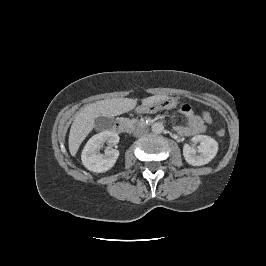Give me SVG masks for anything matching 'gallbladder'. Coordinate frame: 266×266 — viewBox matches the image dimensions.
Returning <instances> with one entry per match:
<instances>
[{
  "label": "gallbladder",
  "instance_id": "obj_1",
  "mask_svg": "<svg viewBox=\"0 0 266 266\" xmlns=\"http://www.w3.org/2000/svg\"><path fill=\"white\" fill-rule=\"evenodd\" d=\"M114 119L111 117L99 116L95 119V127L97 129H109L113 126Z\"/></svg>",
  "mask_w": 266,
  "mask_h": 266
}]
</instances>
